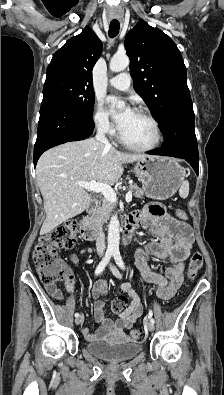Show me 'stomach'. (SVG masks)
Wrapping results in <instances>:
<instances>
[{
    "label": "stomach",
    "mask_w": 224,
    "mask_h": 395,
    "mask_svg": "<svg viewBox=\"0 0 224 395\" xmlns=\"http://www.w3.org/2000/svg\"><path fill=\"white\" fill-rule=\"evenodd\" d=\"M133 171L146 196L157 200L172 197L185 177L183 167L168 157L146 156L137 161Z\"/></svg>",
    "instance_id": "0dacf381"
}]
</instances>
